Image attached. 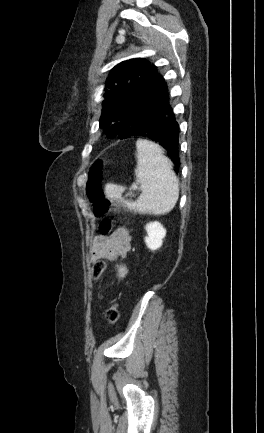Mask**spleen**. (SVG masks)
Returning <instances> with one entry per match:
<instances>
[{
  "label": "spleen",
  "instance_id": "spleen-1",
  "mask_svg": "<svg viewBox=\"0 0 264 433\" xmlns=\"http://www.w3.org/2000/svg\"><path fill=\"white\" fill-rule=\"evenodd\" d=\"M136 149V182L130 190H136L141 185L142 193L138 200L127 201L122 198L125 187L113 183L106 184V196L138 213L166 214L174 208L179 197L178 179L172 170V162L163 154L161 147L152 141L138 139Z\"/></svg>",
  "mask_w": 264,
  "mask_h": 433
}]
</instances>
